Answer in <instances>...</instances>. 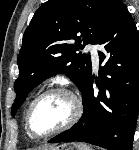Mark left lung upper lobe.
I'll list each match as a JSON object with an SVG mask.
<instances>
[{
	"label": "left lung upper lobe",
	"instance_id": "obj_1",
	"mask_svg": "<svg viewBox=\"0 0 139 150\" xmlns=\"http://www.w3.org/2000/svg\"><path fill=\"white\" fill-rule=\"evenodd\" d=\"M116 0H48L34 14L17 59L19 77L11 114L29 92L56 73H65L81 90L91 75V58L77 53L97 44Z\"/></svg>",
	"mask_w": 139,
	"mask_h": 150
}]
</instances>
